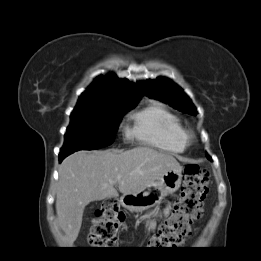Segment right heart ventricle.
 <instances>
[{
	"mask_svg": "<svg viewBox=\"0 0 261 261\" xmlns=\"http://www.w3.org/2000/svg\"><path fill=\"white\" fill-rule=\"evenodd\" d=\"M129 134L141 143L171 153H181L186 147L185 130L169 109L151 102L130 115Z\"/></svg>",
	"mask_w": 261,
	"mask_h": 261,
	"instance_id": "1",
	"label": "right heart ventricle"
}]
</instances>
